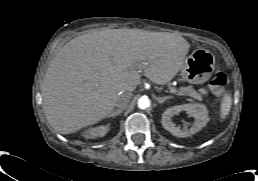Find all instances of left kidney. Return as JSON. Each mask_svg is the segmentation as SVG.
<instances>
[{"label": "left kidney", "instance_id": "obj_1", "mask_svg": "<svg viewBox=\"0 0 258 181\" xmlns=\"http://www.w3.org/2000/svg\"><path fill=\"white\" fill-rule=\"evenodd\" d=\"M181 111H186L195 118V122L190 129H179L172 122V117ZM209 121L207 108L202 104H183L168 108L162 114V125L172 135L177 137H188L200 131Z\"/></svg>", "mask_w": 258, "mask_h": 181}]
</instances>
